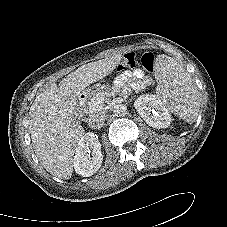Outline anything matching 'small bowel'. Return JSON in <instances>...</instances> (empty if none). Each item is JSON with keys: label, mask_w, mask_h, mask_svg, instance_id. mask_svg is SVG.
Segmentation results:
<instances>
[{"label": "small bowel", "mask_w": 227, "mask_h": 227, "mask_svg": "<svg viewBox=\"0 0 227 227\" xmlns=\"http://www.w3.org/2000/svg\"><path fill=\"white\" fill-rule=\"evenodd\" d=\"M133 78V80L131 79ZM120 85H129L132 89L143 88L151 83V79L141 69L135 70L132 75L123 74L118 78Z\"/></svg>", "instance_id": "c3829d8e"}]
</instances>
